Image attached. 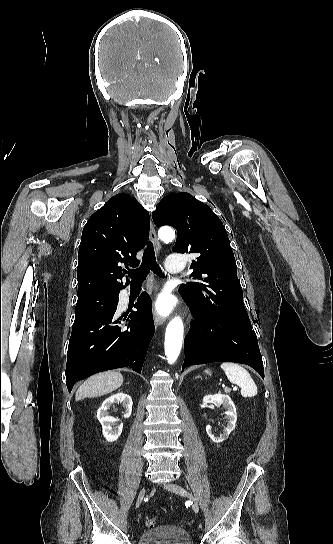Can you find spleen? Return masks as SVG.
Wrapping results in <instances>:
<instances>
[{
	"label": "spleen",
	"mask_w": 333,
	"mask_h": 544,
	"mask_svg": "<svg viewBox=\"0 0 333 544\" xmlns=\"http://www.w3.org/2000/svg\"><path fill=\"white\" fill-rule=\"evenodd\" d=\"M221 369L225 372L231 383L241 388V395L243 397H254L257 394V387L246 369L232 362L222 363Z\"/></svg>",
	"instance_id": "spleen-1"
}]
</instances>
